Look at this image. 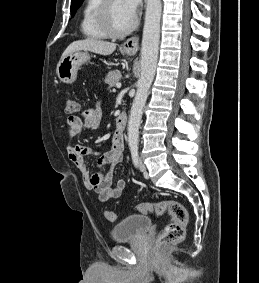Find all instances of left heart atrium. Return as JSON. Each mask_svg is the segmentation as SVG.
I'll return each instance as SVG.
<instances>
[{
  "label": "left heart atrium",
  "mask_w": 259,
  "mask_h": 283,
  "mask_svg": "<svg viewBox=\"0 0 259 283\" xmlns=\"http://www.w3.org/2000/svg\"><path fill=\"white\" fill-rule=\"evenodd\" d=\"M122 3L126 11L134 18L141 0H122Z\"/></svg>",
  "instance_id": "left-heart-atrium-1"
}]
</instances>
